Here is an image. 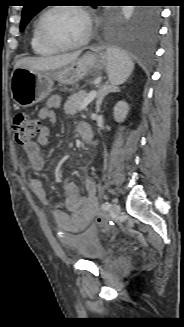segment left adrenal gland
<instances>
[{
  "label": "left adrenal gland",
  "instance_id": "1",
  "mask_svg": "<svg viewBox=\"0 0 184 327\" xmlns=\"http://www.w3.org/2000/svg\"><path fill=\"white\" fill-rule=\"evenodd\" d=\"M119 91L120 90L117 87L109 85L108 83L101 85L97 92L96 112L99 113L102 102L109 93Z\"/></svg>",
  "mask_w": 184,
  "mask_h": 327
}]
</instances>
